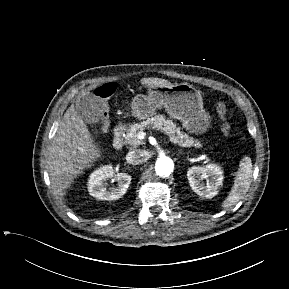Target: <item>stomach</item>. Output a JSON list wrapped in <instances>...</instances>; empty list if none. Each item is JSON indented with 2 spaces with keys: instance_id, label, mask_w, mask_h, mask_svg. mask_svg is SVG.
I'll return each mask as SVG.
<instances>
[{
  "instance_id": "0dacf381",
  "label": "stomach",
  "mask_w": 289,
  "mask_h": 289,
  "mask_svg": "<svg viewBox=\"0 0 289 289\" xmlns=\"http://www.w3.org/2000/svg\"><path fill=\"white\" fill-rule=\"evenodd\" d=\"M162 107L172 118L180 120L189 133L201 134L210 127L211 119L203 109L201 92L188 83L150 87L147 95L133 98L131 112L138 119H146Z\"/></svg>"
}]
</instances>
